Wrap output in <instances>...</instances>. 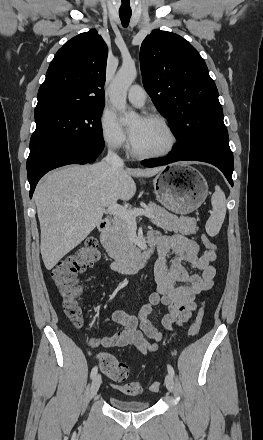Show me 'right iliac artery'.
Masks as SVG:
<instances>
[{"mask_svg":"<svg viewBox=\"0 0 263 440\" xmlns=\"http://www.w3.org/2000/svg\"><path fill=\"white\" fill-rule=\"evenodd\" d=\"M97 371H98L97 366L93 367V369L91 370V374H90V377H91L92 379L96 376Z\"/></svg>","mask_w":263,"mask_h":440,"instance_id":"1","label":"right iliac artery"}]
</instances>
